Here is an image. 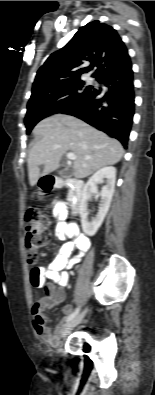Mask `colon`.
<instances>
[{"mask_svg": "<svg viewBox=\"0 0 155 395\" xmlns=\"http://www.w3.org/2000/svg\"><path fill=\"white\" fill-rule=\"evenodd\" d=\"M51 241L49 222L38 208H29L26 212L25 246L27 261L35 265L42 256V250Z\"/></svg>", "mask_w": 155, "mask_h": 395, "instance_id": "5ec220e1", "label": "colon"}]
</instances>
